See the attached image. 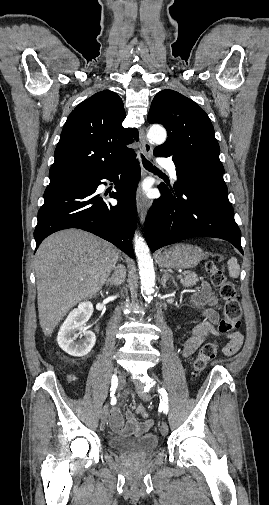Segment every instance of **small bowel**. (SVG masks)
I'll return each mask as SVG.
<instances>
[{"mask_svg":"<svg viewBox=\"0 0 269 505\" xmlns=\"http://www.w3.org/2000/svg\"><path fill=\"white\" fill-rule=\"evenodd\" d=\"M215 304L216 299L212 294L210 286L207 283H202L192 298V305L202 308V320L194 326L192 335L183 346L182 354L184 357L193 354L210 335H219L215 327L218 321ZM228 338L229 342L224 348V354L230 356L240 349L243 337L240 333H232L228 335ZM125 415L126 422L124 423L119 408L114 407L111 410L110 426L114 432L122 435L139 436L153 425L151 419L139 422L130 409L126 411Z\"/></svg>","mask_w":269,"mask_h":505,"instance_id":"1","label":"small bowel"}]
</instances>
